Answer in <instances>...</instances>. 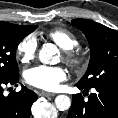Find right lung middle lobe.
I'll return each instance as SVG.
<instances>
[{
    "label": "right lung middle lobe",
    "mask_w": 118,
    "mask_h": 118,
    "mask_svg": "<svg viewBox=\"0 0 118 118\" xmlns=\"http://www.w3.org/2000/svg\"><path fill=\"white\" fill-rule=\"evenodd\" d=\"M30 32L15 24L0 21V81L10 80L19 75L16 49Z\"/></svg>",
    "instance_id": "obj_1"
}]
</instances>
